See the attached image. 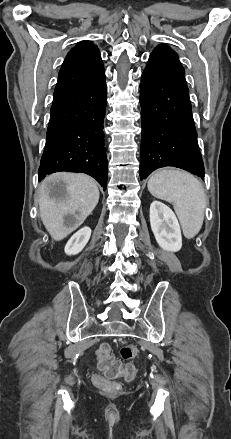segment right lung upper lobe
Segmentation results:
<instances>
[{
    "label": "right lung upper lobe",
    "instance_id": "cb5924a9",
    "mask_svg": "<svg viewBox=\"0 0 231 439\" xmlns=\"http://www.w3.org/2000/svg\"><path fill=\"white\" fill-rule=\"evenodd\" d=\"M104 73L97 46L81 41L66 56L59 71L54 99L73 92L99 78Z\"/></svg>",
    "mask_w": 231,
    "mask_h": 439
}]
</instances>
